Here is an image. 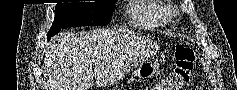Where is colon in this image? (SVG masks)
<instances>
[{"instance_id": "1", "label": "colon", "mask_w": 237, "mask_h": 90, "mask_svg": "<svg viewBox=\"0 0 237 90\" xmlns=\"http://www.w3.org/2000/svg\"><path fill=\"white\" fill-rule=\"evenodd\" d=\"M174 55V70L152 90H182L190 82L195 60L193 49L186 45H178Z\"/></svg>"}]
</instances>
